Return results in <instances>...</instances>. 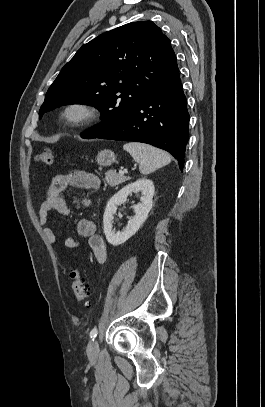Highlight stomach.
Masks as SVG:
<instances>
[{"mask_svg":"<svg viewBox=\"0 0 265 407\" xmlns=\"http://www.w3.org/2000/svg\"><path fill=\"white\" fill-rule=\"evenodd\" d=\"M96 161L100 166H110L116 162V155L111 150H103L98 153Z\"/></svg>","mask_w":265,"mask_h":407,"instance_id":"0dacf381","label":"stomach"}]
</instances>
